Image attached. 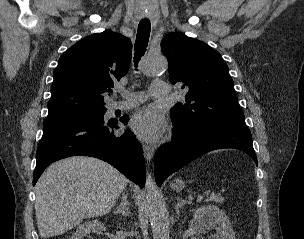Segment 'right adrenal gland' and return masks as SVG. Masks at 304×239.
I'll use <instances>...</instances> for the list:
<instances>
[{
    "label": "right adrenal gland",
    "mask_w": 304,
    "mask_h": 239,
    "mask_svg": "<svg viewBox=\"0 0 304 239\" xmlns=\"http://www.w3.org/2000/svg\"><path fill=\"white\" fill-rule=\"evenodd\" d=\"M130 203L128 201V197L127 194H125L124 192L122 193V200H121V204L119 205V207L115 210V214H122L123 216H129L130 214Z\"/></svg>",
    "instance_id": "1"
}]
</instances>
